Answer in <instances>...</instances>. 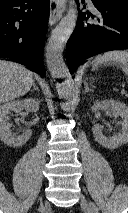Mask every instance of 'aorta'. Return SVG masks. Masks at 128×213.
<instances>
[{
  "label": "aorta",
  "mask_w": 128,
  "mask_h": 213,
  "mask_svg": "<svg viewBox=\"0 0 128 213\" xmlns=\"http://www.w3.org/2000/svg\"><path fill=\"white\" fill-rule=\"evenodd\" d=\"M76 12L75 0H70L67 14L52 31L46 46L45 54L47 67L52 78L64 79L56 85L59 98L65 100V102L61 103V108L64 111H70L71 109V104L68 101L73 97L74 84L70 72L63 60L62 53L75 28L77 21Z\"/></svg>",
  "instance_id": "obj_1"
}]
</instances>
